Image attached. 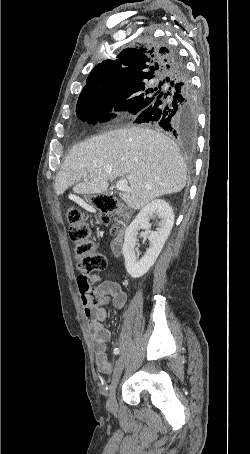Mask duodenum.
<instances>
[{
	"label": "duodenum",
	"instance_id": "410a0bca",
	"mask_svg": "<svg viewBox=\"0 0 250 454\" xmlns=\"http://www.w3.org/2000/svg\"><path fill=\"white\" fill-rule=\"evenodd\" d=\"M113 248L115 250V252L117 253L120 249V243L119 241H115L114 244H113Z\"/></svg>",
	"mask_w": 250,
	"mask_h": 454
}]
</instances>
